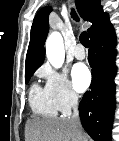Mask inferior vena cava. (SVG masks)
<instances>
[{
  "label": "inferior vena cava",
  "mask_w": 119,
  "mask_h": 141,
  "mask_svg": "<svg viewBox=\"0 0 119 141\" xmlns=\"http://www.w3.org/2000/svg\"><path fill=\"white\" fill-rule=\"evenodd\" d=\"M70 103L73 109V114L69 119L75 125L77 130H81V123H80L79 110H78V96L74 92L71 93Z\"/></svg>",
  "instance_id": "602c4592"
}]
</instances>
